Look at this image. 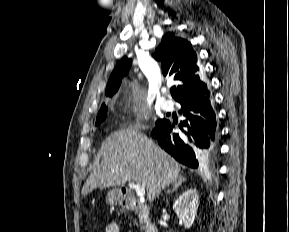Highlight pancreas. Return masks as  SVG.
Returning <instances> with one entry per match:
<instances>
[{
  "label": "pancreas",
  "mask_w": 289,
  "mask_h": 232,
  "mask_svg": "<svg viewBox=\"0 0 289 232\" xmlns=\"http://www.w3.org/2000/svg\"><path fill=\"white\" fill-rule=\"evenodd\" d=\"M143 223H144V219H143V218H140V224L142 225V226H141V230L144 229V225H143ZM134 224L137 225V222L134 221Z\"/></svg>",
  "instance_id": "1"
}]
</instances>
